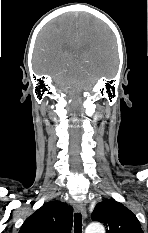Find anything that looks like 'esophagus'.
Returning <instances> with one entry per match:
<instances>
[{"label": "esophagus", "mask_w": 148, "mask_h": 233, "mask_svg": "<svg viewBox=\"0 0 148 233\" xmlns=\"http://www.w3.org/2000/svg\"><path fill=\"white\" fill-rule=\"evenodd\" d=\"M75 209L77 212L81 213L84 218L87 217L86 207L83 203H76Z\"/></svg>", "instance_id": "obj_1"}]
</instances>
